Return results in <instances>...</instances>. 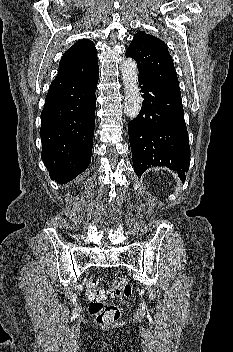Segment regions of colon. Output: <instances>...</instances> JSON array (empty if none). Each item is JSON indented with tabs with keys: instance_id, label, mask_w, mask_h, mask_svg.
Returning <instances> with one entry per match:
<instances>
[{
	"instance_id": "colon-1",
	"label": "colon",
	"mask_w": 233,
	"mask_h": 352,
	"mask_svg": "<svg viewBox=\"0 0 233 352\" xmlns=\"http://www.w3.org/2000/svg\"><path fill=\"white\" fill-rule=\"evenodd\" d=\"M90 300L89 312L99 323H112L119 319L121 311L118 306L109 303L108 298L129 297L132 286L123 278L112 281L111 288L106 290L99 286V280L91 278L86 284Z\"/></svg>"
}]
</instances>
